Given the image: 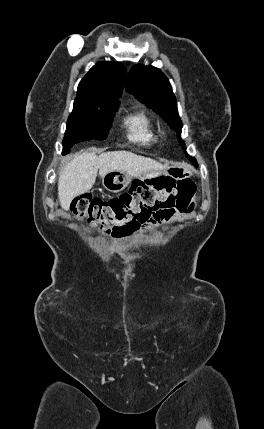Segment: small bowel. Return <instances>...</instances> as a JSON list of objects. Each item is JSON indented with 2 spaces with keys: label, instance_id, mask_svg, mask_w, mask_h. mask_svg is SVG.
Masks as SVG:
<instances>
[{
  "label": "small bowel",
  "instance_id": "c3829d8e",
  "mask_svg": "<svg viewBox=\"0 0 264 429\" xmlns=\"http://www.w3.org/2000/svg\"><path fill=\"white\" fill-rule=\"evenodd\" d=\"M184 213L173 212V213H163L153 216L144 227V231L148 232L153 226L158 225L163 222H171L182 219Z\"/></svg>",
  "mask_w": 264,
  "mask_h": 429
}]
</instances>
